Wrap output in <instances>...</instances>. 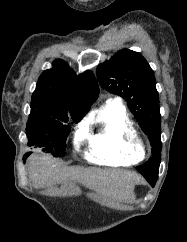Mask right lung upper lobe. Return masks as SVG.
Returning a JSON list of instances; mask_svg holds the SVG:
<instances>
[{"label": "right lung upper lobe", "mask_w": 187, "mask_h": 242, "mask_svg": "<svg viewBox=\"0 0 187 242\" xmlns=\"http://www.w3.org/2000/svg\"><path fill=\"white\" fill-rule=\"evenodd\" d=\"M99 94L91 71L77 76L63 60L53 62V68L39 77L32 94L31 114L84 116Z\"/></svg>", "instance_id": "cb5924a9"}]
</instances>
